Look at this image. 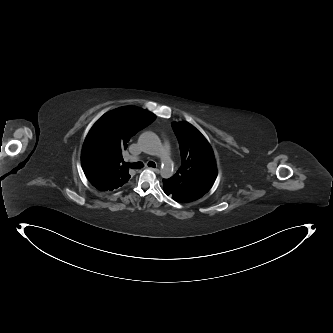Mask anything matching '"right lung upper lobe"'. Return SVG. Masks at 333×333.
Listing matches in <instances>:
<instances>
[{
  "mask_svg": "<svg viewBox=\"0 0 333 333\" xmlns=\"http://www.w3.org/2000/svg\"><path fill=\"white\" fill-rule=\"evenodd\" d=\"M155 118L151 112L124 106L104 114L93 125L83 145L91 150L84 162L94 171L99 189L113 191L128 182L131 176L121 164L123 152L130 138Z\"/></svg>",
  "mask_w": 333,
  "mask_h": 333,
  "instance_id": "1",
  "label": "right lung upper lobe"
}]
</instances>
